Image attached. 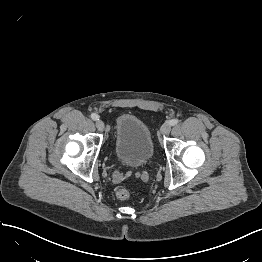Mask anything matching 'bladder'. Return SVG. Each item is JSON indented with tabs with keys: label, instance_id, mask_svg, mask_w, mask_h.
<instances>
[{
	"label": "bladder",
	"instance_id": "31cf9c89",
	"mask_svg": "<svg viewBox=\"0 0 262 262\" xmlns=\"http://www.w3.org/2000/svg\"><path fill=\"white\" fill-rule=\"evenodd\" d=\"M115 152L122 163L132 167L142 166L152 157L154 145L151 133L141 119L133 115L117 119Z\"/></svg>",
	"mask_w": 262,
	"mask_h": 262
}]
</instances>
